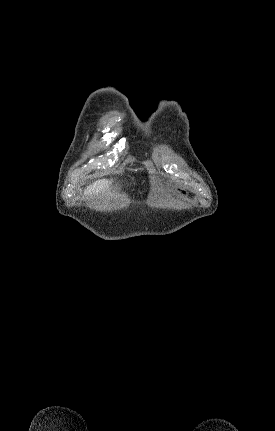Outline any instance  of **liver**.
I'll use <instances>...</instances> for the list:
<instances>
[{"label":"liver","mask_w":275,"mask_h":431,"mask_svg":"<svg viewBox=\"0 0 275 431\" xmlns=\"http://www.w3.org/2000/svg\"><path fill=\"white\" fill-rule=\"evenodd\" d=\"M110 184H111V181H108L105 179L95 181L94 183H92L87 187V189L85 190V194L87 196H96L101 193L103 194L109 190Z\"/></svg>","instance_id":"liver-1"}]
</instances>
